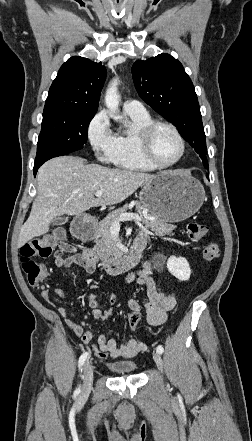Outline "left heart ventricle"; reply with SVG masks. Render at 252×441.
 I'll return each mask as SVG.
<instances>
[{"instance_id": "left-heart-ventricle-1", "label": "left heart ventricle", "mask_w": 252, "mask_h": 441, "mask_svg": "<svg viewBox=\"0 0 252 441\" xmlns=\"http://www.w3.org/2000/svg\"><path fill=\"white\" fill-rule=\"evenodd\" d=\"M152 149L155 158L160 163H169L179 156L181 145L170 129L160 127L153 136Z\"/></svg>"}]
</instances>
